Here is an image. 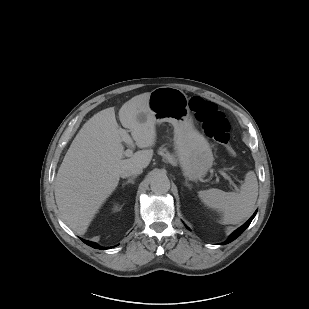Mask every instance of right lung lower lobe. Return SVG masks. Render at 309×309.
<instances>
[{"label": "right lung lower lobe", "instance_id": "obj_1", "mask_svg": "<svg viewBox=\"0 0 309 309\" xmlns=\"http://www.w3.org/2000/svg\"><path fill=\"white\" fill-rule=\"evenodd\" d=\"M82 241H83L85 244H87V245H89V246H91V247H93V248H95V249H107V248H104V247H100V246H98L96 243H92V242L87 241V240H83V239H82Z\"/></svg>", "mask_w": 309, "mask_h": 309}]
</instances>
